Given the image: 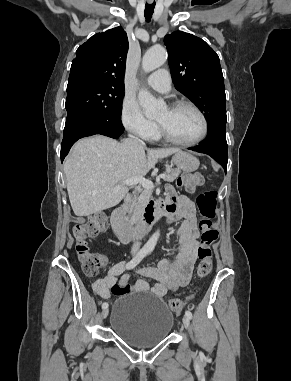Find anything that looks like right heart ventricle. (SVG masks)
I'll use <instances>...</instances> for the list:
<instances>
[{
  "mask_svg": "<svg viewBox=\"0 0 291 381\" xmlns=\"http://www.w3.org/2000/svg\"><path fill=\"white\" fill-rule=\"evenodd\" d=\"M154 139H158L159 138V135L157 133H155L153 136H152Z\"/></svg>",
  "mask_w": 291,
  "mask_h": 381,
  "instance_id": "e07e8e85",
  "label": "right heart ventricle"
}]
</instances>
